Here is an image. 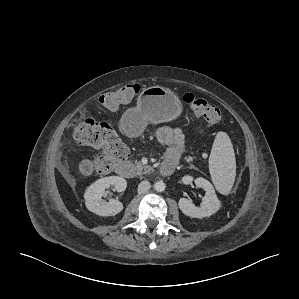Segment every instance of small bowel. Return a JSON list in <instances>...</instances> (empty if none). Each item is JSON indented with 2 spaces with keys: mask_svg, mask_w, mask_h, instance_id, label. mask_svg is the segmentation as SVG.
Returning a JSON list of instances; mask_svg holds the SVG:
<instances>
[{
  "mask_svg": "<svg viewBox=\"0 0 299 299\" xmlns=\"http://www.w3.org/2000/svg\"><path fill=\"white\" fill-rule=\"evenodd\" d=\"M157 139L167 148L165 160L177 164L185 150L184 135L180 128L163 126L157 131Z\"/></svg>",
  "mask_w": 299,
  "mask_h": 299,
  "instance_id": "1",
  "label": "small bowel"
}]
</instances>
